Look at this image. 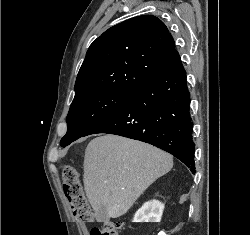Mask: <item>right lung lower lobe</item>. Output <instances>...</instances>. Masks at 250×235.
<instances>
[{"mask_svg":"<svg viewBox=\"0 0 250 235\" xmlns=\"http://www.w3.org/2000/svg\"><path fill=\"white\" fill-rule=\"evenodd\" d=\"M190 100L186 72L176 51L161 73L84 136L108 133L140 140L169 152L195 173Z\"/></svg>","mask_w":250,"mask_h":235,"instance_id":"right-lung-lower-lobe-1","label":"right lung lower lobe"}]
</instances>
